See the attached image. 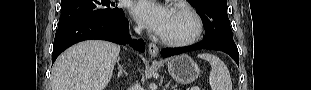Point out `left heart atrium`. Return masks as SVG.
<instances>
[{"mask_svg":"<svg viewBox=\"0 0 311 90\" xmlns=\"http://www.w3.org/2000/svg\"><path fill=\"white\" fill-rule=\"evenodd\" d=\"M133 15L150 31L163 35L171 10L157 2L149 0L137 1L132 6Z\"/></svg>","mask_w":311,"mask_h":90,"instance_id":"obj_1","label":"left heart atrium"}]
</instances>
